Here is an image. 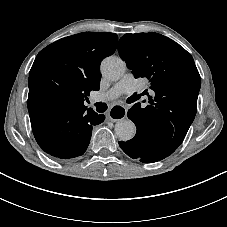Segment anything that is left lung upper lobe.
<instances>
[{
    "mask_svg": "<svg viewBox=\"0 0 227 227\" xmlns=\"http://www.w3.org/2000/svg\"><path fill=\"white\" fill-rule=\"evenodd\" d=\"M118 50L135 77L149 79L156 94L153 100L149 98L151 105L142 108L138 102L131 108L139 110L138 124L178 147L194 120L201 86L192 56L158 33L125 34Z\"/></svg>",
    "mask_w": 227,
    "mask_h": 227,
    "instance_id": "left-lung-upper-lobe-1",
    "label": "left lung upper lobe"
}]
</instances>
